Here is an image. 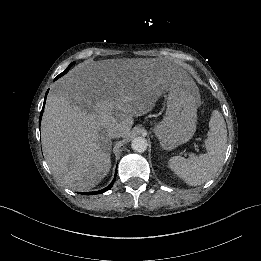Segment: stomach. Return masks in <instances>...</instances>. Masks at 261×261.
Listing matches in <instances>:
<instances>
[{
    "label": "stomach",
    "instance_id": "1",
    "mask_svg": "<svg viewBox=\"0 0 261 261\" xmlns=\"http://www.w3.org/2000/svg\"><path fill=\"white\" fill-rule=\"evenodd\" d=\"M200 104L196 86L169 89L165 117L153 129L164 150H172L193 137Z\"/></svg>",
    "mask_w": 261,
    "mask_h": 261
}]
</instances>
